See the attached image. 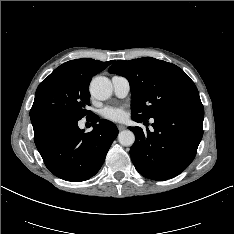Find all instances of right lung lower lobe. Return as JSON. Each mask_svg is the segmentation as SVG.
<instances>
[{"label":"right lung lower lobe","instance_id":"98d812e1","mask_svg":"<svg viewBox=\"0 0 234 234\" xmlns=\"http://www.w3.org/2000/svg\"><path fill=\"white\" fill-rule=\"evenodd\" d=\"M30 118L34 141L46 167L72 182L87 180L99 171L118 135L113 123L99 120L94 113L87 117L93 123L89 133L78 127L80 119L63 113L44 112Z\"/></svg>","mask_w":234,"mask_h":234}]
</instances>
